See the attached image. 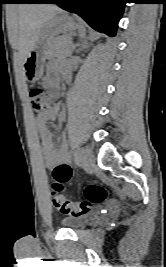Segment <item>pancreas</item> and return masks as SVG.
Masks as SVG:
<instances>
[{"label": "pancreas", "instance_id": "1", "mask_svg": "<svg viewBox=\"0 0 166 267\" xmlns=\"http://www.w3.org/2000/svg\"><path fill=\"white\" fill-rule=\"evenodd\" d=\"M72 52L70 37L67 35L56 37L48 50V59L69 56Z\"/></svg>", "mask_w": 166, "mask_h": 267}]
</instances>
